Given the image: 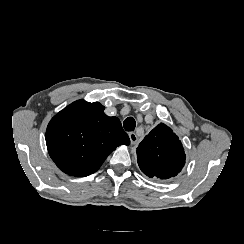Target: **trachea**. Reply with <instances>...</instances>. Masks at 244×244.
I'll use <instances>...</instances> for the list:
<instances>
[{
    "label": "trachea",
    "instance_id": "3493384b",
    "mask_svg": "<svg viewBox=\"0 0 244 244\" xmlns=\"http://www.w3.org/2000/svg\"><path fill=\"white\" fill-rule=\"evenodd\" d=\"M123 125L126 131H133L136 126L135 119L133 117H128L124 120Z\"/></svg>",
    "mask_w": 244,
    "mask_h": 244
}]
</instances>
